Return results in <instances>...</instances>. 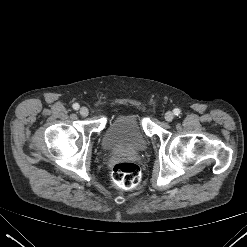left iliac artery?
<instances>
[{
    "label": "left iliac artery",
    "mask_w": 247,
    "mask_h": 247,
    "mask_svg": "<svg viewBox=\"0 0 247 247\" xmlns=\"http://www.w3.org/2000/svg\"><path fill=\"white\" fill-rule=\"evenodd\" d=\"M173 112H174V115H176V116L180 115V113H181L180 109H178V108H175L173 110Z\"/></svg>",
    "instance_id": "1"
}]
</instances>
